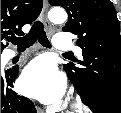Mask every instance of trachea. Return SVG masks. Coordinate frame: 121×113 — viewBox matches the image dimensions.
<instances>
[{"label":"trachea","mask_w":121,"mask_h":113,"mask_svg":"<svg viewBox=\"0 0 121 113\" xmlns=\"http://www.w3.org/2000/svg\"><path fill=\"white\" fill-rule=\"evenodd\" d=\"M47 48H50L51 45L46 36L44 25L40 21H36L30 29V32L24 37H12L9 39L10 42L16 44L19 50H24L29 46L33 45L36 41ZM65 55L71 54V52L64 53Z\"/></svg>","instance_id":"1"}]
</instances>
